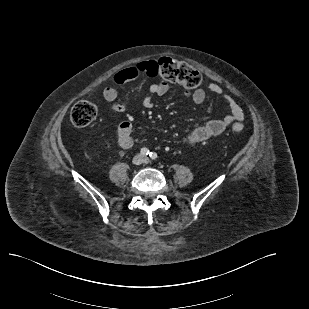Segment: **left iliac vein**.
I'll return each mask as SVG.
<instances>
[{"label": "left iliac vein", "instance_id": "4c4485c4", "mask_svg": "<svg viewBox=\"0 0 309 309\" xmlns=\"http://www.w3.org/2000/svg\"><path fill=\"white\" fill-rule=\"evenodd\" d=\"M144 163H148L149 162V159L147 157H144Z\"/></svg>", "mask_w": 309, "mask_h": 309}]
</instances>
